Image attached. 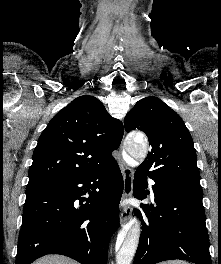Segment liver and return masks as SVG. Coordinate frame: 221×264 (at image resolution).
Segmentation results:
<instances>
[{"mask_svg": "<svg viewBox=\"0 0 221 264\" xmlns=\"http://www.w3.org/2000/svg\"><path fill=\"white\" fill-rule=\"evenodd\" d=\"M32 264H79L72 259L61 255H47Z\"/></svg>", "mask_w": 221, "mask_h": 264, "instance_id": "6515ba94", "label": "liver"}]
</instances>
